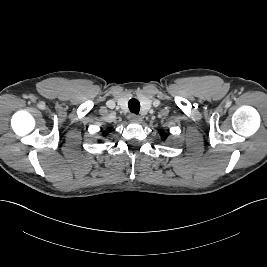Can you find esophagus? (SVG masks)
Here are the masks:
<instances>
[{"instance_id":"34e87169","label":"esophagus","mask_w":267,"mask_h":267,"mask_svg":"<svg viewBox=\"0 0 267 267\" xmlns=\"http://www.w3.org/2000/svg\"><path fill=\"white\" fill-rule=\"evenodd\" d=\"M129 120H130L131 122L139 123V122L142 121V118H141L140 116L136 115V114H130V115H129Z\"/></svg>"}]
</instances>
